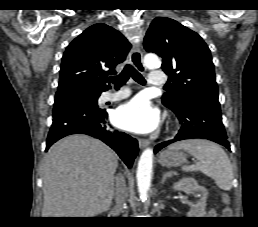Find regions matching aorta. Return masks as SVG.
I'll return each mask as SVG.
<instances>
[{
	"mask_svg": "<svg viewBox=\"0 0 258 227\" xmlns=\"http://www.w3.org/2000/svg\"><path fill=\"white\" fill-rule=\"evenodd\" d=\"M160 61L155 54H147L144 57V65L148 68H155L159 66ZM153 164V150L147 148L140 156L137 167V185L140 198L142 201H146L148 197V190L151 182V172Z\"/></svg>",
	"mask_w": 258,
	"mask_h": 227,
	"instance_id": "aorta-1",
	"label": "aorta"
}]
</instances>
